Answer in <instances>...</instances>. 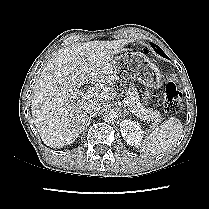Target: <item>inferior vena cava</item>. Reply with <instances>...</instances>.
Returning <instances> with one entry per match:
<instances>
[{
    "instance_id": "1",
    "label": "inferior vena cava",
    "mask_w": 209,
    "mask_h": 209,
    "mask_svg": "<svg viewBox=\"0 0 209 209\" xmlns=\"http://www.w3.org/2000/svg\"><path fill=\"white\" fill-rule=\"evenodd\" d=\"M100 108H101V103L98 102V101H93V102H91L87 105L86 113L91 115V116H94L98 113Z\"/></svg>"
}]
</instances>
